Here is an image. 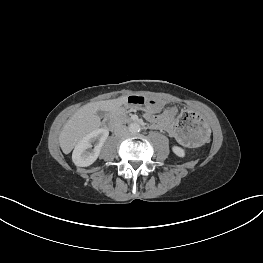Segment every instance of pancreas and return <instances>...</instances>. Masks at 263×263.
Listing matches in <instances>:
<instances>
[{
	"instance_id": "1",
	"label": "pancreas",
	"mask_w": 263,
	"mask_h": 263,
	"mask_svg": "<svg viewBox=\"0 0 263 263\" xmlns=\"http://www.w3.org/2000/svg\"><path fill=\"white\" fill-rule=\"evenodd\" d=\"M127 113L124 109L119 108L112 113V119L116 124L128 123L130 118Z\"/></svg>"
}]
</instances>
